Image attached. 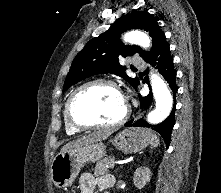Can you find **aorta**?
I'll list each match as a JSON object with an SVG mask.
<instances>
[{
  "label": "aorta",
  "mask_w": 221,
  "mask_h": 193,
  "mask_svg": "<svg viewBox=\"0 0 221 193\" xmlns=\"http://www.w3.org/2000/svg\"><path fill=\"white\" fill-rule=\"evenodd\" d=\"M124 40L128 43L137 44L144 48L150 46L149 37L140 31L127 33L124 36ZM151 86L156 101V108L148 114L147 121L151 124H158L170 114L173 99L167 85L158 75H151Z\"/></svg>",
  "instance_id": "obj_1"
}]
</instances>
